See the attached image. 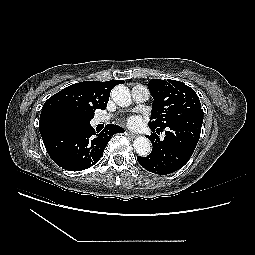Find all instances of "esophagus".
Segmentation results:
<instances>
[{
  "label": "esophagus",
  "instance_id": "esophagus-1",
  "mask_svg": "<svg viewBox=\"0 0 255 255\" xmlns=\"http://www.w3.org/2000/svg\"><path fill=\"white\" fill-rule=\"evenodd\" d=\"M125 134L130 137V138H135V134L133 132H131L130 130H126Z\"/></svg>",
  "mask_w": 255,
  "mask_h": 255
}]
</instances>
